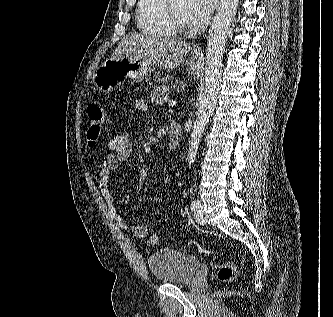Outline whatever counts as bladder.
Wrapping results in <instances>:
<instances>
[{
    "mask_svg": "<svg viewBox=\"0 0 333 317\" xmlns=\"http://www.w3.org/2000/svg\"><path fill=\"white\" fill-rule=\"evenodd\" d=\"M147 264L155 280L174 285L192 282L202 266L197 257L171 248L153 252Z\"/></svg>",
    "mask_w": 333,
    "mask_h": 317,
    "instance_id": "bladder-1",
    "label": "bladder"
}]
</instances>
